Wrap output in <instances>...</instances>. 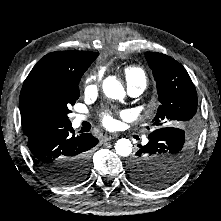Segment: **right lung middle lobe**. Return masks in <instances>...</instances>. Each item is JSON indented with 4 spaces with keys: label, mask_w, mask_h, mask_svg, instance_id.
<instances>
[{
    "label": "right lung middle lobe",
    "mask_w": 221,
    "mask_h": 221,
    "mask_svg": "<svg viewBox=\"0 0 221 221\" xmlns=\"http://www.w3.org/2000/svg\"><path fill=\"white\" fill-rule=\"evenodd\" d=\"M87 68L42 77L23 87L20 94L23 129L70 124L69 106L74 105L79 98V81ZM88 169L89 165L86 166L83 157L72 159L66 164L67 172L74 173L80 181L86 177Z\"/></svg>",
    "instance_id": "1"
}]
</instances>
